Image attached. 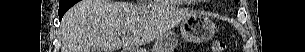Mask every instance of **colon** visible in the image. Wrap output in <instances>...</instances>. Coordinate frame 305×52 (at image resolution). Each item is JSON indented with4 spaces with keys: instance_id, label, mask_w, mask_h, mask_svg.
<instances>
[{
    "instance_id": "5ec220e1",
    "label": "colon",
    "mask_w": 305,
    "mask_h": 52,
    "mask_svg": "<svg viewBox=\"0 0 305 52\" xmlns=\"http://www.w3.org/2000/svg\"><path fill=\"white\" fill-rule=\"evenodd\" d=\"M211 50L213 52H224L226 51V44L222 40H214L211 43Z\"/></svg>"
}]
</instances>
